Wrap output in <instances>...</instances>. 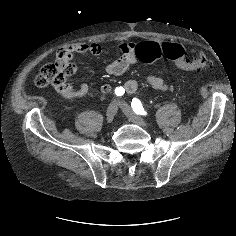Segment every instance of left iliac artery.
I'll return each instance as SVG.
<instances>
[{
	"mask_svg": "<svg viewBox=\"0 0 236 236\" xmlns=\"http://www.w3.org/2000/svg\"><path fill=\"white\" fill-rule=\"evenodd\" d=\"M131 106L133 111L137 114V115H147V112L144 110L141 101L137 98H133L132 102H131Z\"/></svg>",
	"mask_w": 236,
	"mask_h": 236,
	"instance_id": "obj_1",
	"label": "left iliac artery"
}]
</instances>
